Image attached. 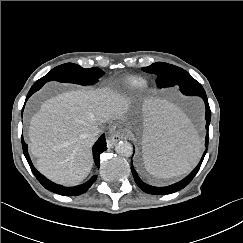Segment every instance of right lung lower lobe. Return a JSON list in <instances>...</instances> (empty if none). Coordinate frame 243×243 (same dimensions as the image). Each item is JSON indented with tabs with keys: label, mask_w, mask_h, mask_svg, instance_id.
Listing matches in <instances>:
<instances>
[{
	"label": "right lung lower lobe",
	"mask_w": 243,
	"mask_h": 243,
	"mask_svg": "<svg viewBox=\"0 0 243 243\" xmlns=\"http://www.w3.org/2000/svg\"><path fill=\"white\" fill-rule=\"evenodd\" d=\"M43 85H37L34 84L27 97L26 100L37 90H39ZM22 147H23V152L24 155L31 167V170L33 172V174L35 175V177L38 179V181L49 191H52L54 193L60 194V195H65V196H75V195H80L82 193H85L90 187L91 185L95 182L97 176L94 175L89 181H87L86 183L79 185V186H75V187H63L61 185L55 184L53 182H51L50 180H48L46 177H44L42 174H40L35 167L33 166L30 157L28 155L27 152V144L24 142L23 138H22ZM107 149L106 147V140H105V134H103L98 140L97 142L94 144L93 146V157H94V161L95 164L97 166H99V161H100V154L102 152H104Z\"/></svg>",
	"instance_id": "right-lung-lower-lobe-1"
}]
</instances>
